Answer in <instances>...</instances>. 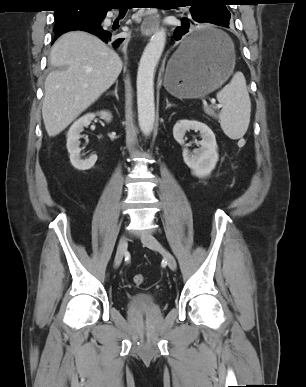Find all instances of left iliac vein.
Returning a JSON list of instances; mask_svg holds the SVG:
<instances>
[{
  "label": "left iliac vein",
  "instance_id": "4c4485c4",
  "mask_svg": "<svg viewBox=\"0 0 306 387\" xmlns=\"http://www.w3.org/2000/svg\"><path fill=\"white\" fill-rule=\"evenodd\" d=\"M142 242L146 247L159 251L164 257L168 267L173 271L176 270L177 263L174 256L167 251L154 236L147 234L143 237Z\"/></svg>",
  "mask_w": 306,
  "mask_h": 387
}]
</instances>
